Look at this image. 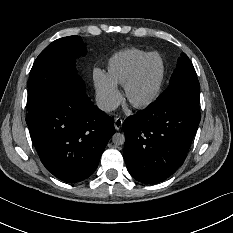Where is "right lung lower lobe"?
<instances>
[{"instance_id": "98d812e1", "label": "right lung lower lobe", "mask_w": 233, "mask_h": 233, "mask_svg": "<svg viewBox=\"0 0 233 233\" xmlns=\"http://www.w3.org/2000/svg\"><path fill=\"white\" fill-rule=\"evenodd\" d=\"M26 123L43 165L68 183L94 173L114 132L113 118L93 105L79 80L28 112Z\"/></svg>"}]
</instances>
